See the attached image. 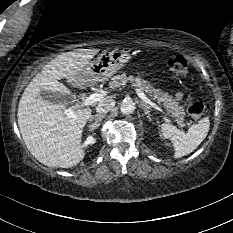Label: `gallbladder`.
<instances>
[{"mask_svg": "<svg viewBox=\"0 0 233 233\" xmlns=\"http://www.w3.org/2000/svg\"><path fill=\"white\" fill-rule=\"evenodd\" d=\"M40 97L55 104L65 103L72 98L71 96L64 97L61 96L59 93H54L51 91H41Z\"/></svg>", "mask_w": 233, "mask_h": 233, "instance_id": "bac80fb5", "label": "gallbladder"}]
</instances>
